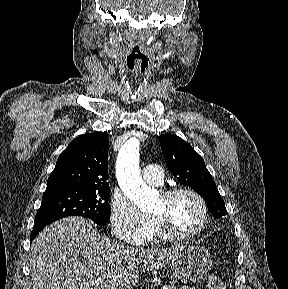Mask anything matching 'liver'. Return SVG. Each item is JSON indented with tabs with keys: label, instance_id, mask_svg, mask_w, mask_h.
<instances>
[{
	"label": "liver",
	"instance_id": "obj_1",
	"mask_svg": "<svg viewBox=\"0 0 288 289\" xmlns=\"http://www.w3.org/2000/svg\"><path fill=\"white\" fill-rule=\"evenodd\" d=\"M180 247L145 249L119 244L97 233L89 219L72 216L45 227L29 258L33 289H134L138 265L163 268Z\"/></svg>",
	"mask_w": 288,
	"mask_h": 289
}]
</instances>
